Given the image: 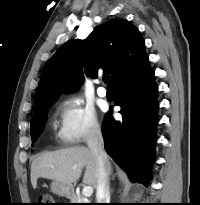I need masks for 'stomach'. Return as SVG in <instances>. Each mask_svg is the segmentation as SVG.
Masks as SVG:
<instances>
[{
    "mask_svg": "<svg viewBox=\"0 0 200 205\" xmlns=\"http://www.w3.org/2000/svg\"><path fill=\"white\" fill-rule=\"evenodd\" d=\"M50 188L51 191L58 196L69 197L72 194V187L67 184H63L62 182L53 181Z\"/></svg>",
    "mask_w": 200,
    "mask_h": 205,
    "instance_id": "stomach-1",
    "label": "stomach"
}]
</instances>
